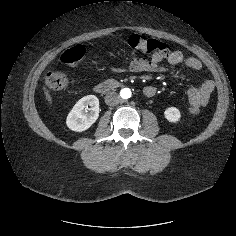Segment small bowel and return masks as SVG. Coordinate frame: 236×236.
Instances as JSON below:
<instances>
[{"label":"small bowel","instance_id":"1","mask_svg":"<svg viewBox=\"0 0 236 236\" xmlns=\"http://www.w3.org/2000/svg\"><path fill=\"white\" fill-rule=\"evenodd\" d=\"M163 60H166L170 65L184 64L188 69L196 72L202 69V64L198 59L185 57L184 54L178 50H167L162 55L152 56L151 59L142 57L132 58L126 66H113L109 71L111 73L125 71L133 73H161L165 71V68L161 65ZM213 90L214 82L210 79H204L198 86L191 87L187 93L190 107L195 106L201 108L207 105ZM144 94L147 97H153L156 94V88L152 85H148L144 88Z\"/></svg>","mask_w":236,"mask_h":236}]
</instances>
